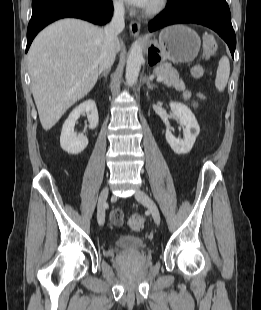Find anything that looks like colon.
<instances>
[{"mask_svg": "<svg viewBox=\"0 0 261 310\" xmlns=\"http://www.w3.org/2000/svg\"><path fill=\"white\" fill-rule=\"evenodd\" d=\"M218 52V46L213 37L207 36L204 38L202 54L205 58H212ZM193 78L198 79L204 75L202 65H194L191 70ZM110 220L113 221L114 227H120L124 220L121 208H113L110 212ZM128 224L133 230H141L144 226V217L140 214H133L128 219Z\"/></svg>", "mask_w": 261, "mask_h": 310, "instance_id": "colon-1", "label": "colon"}]
</instances>
